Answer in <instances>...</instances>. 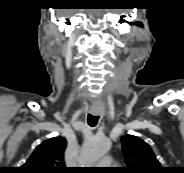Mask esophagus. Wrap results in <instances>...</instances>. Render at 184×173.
<instances>
[{"label":"esophagus","instance_id":"obj_1","mask_svg":"<svg viewBox=\"0 0 184 173\" xmlns=\"http://www.w3.org/2000/svg\"><path fill=\"white\" fill-rule=\"evenodd\" d=\"M91 113L92 114H99V109L98 108H92Z\"/></svg>","mask_w":184,"mask_h":173}]
</instances>
